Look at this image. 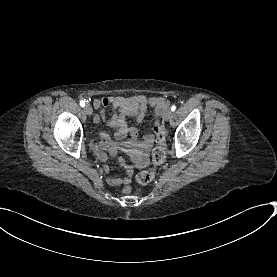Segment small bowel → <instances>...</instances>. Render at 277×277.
Instances as JSON below:
<instances>
[{
    "instance_id": "c3829d8e",
    "label": "small bowel",
    "mask_w": 277,
    "mask_h": 277,
    "mask_svg": "<svg viewBox=\"0 0 277 277\" xmlns=\"http://www.w3.org/2000/svg\"><path fill=\"white\" fill-rule=\"evenodd\" d=\"M113 106V114L108 120V125L116 130V138L122 139L126 136H130L132 140L125 142L124 144L113 143L111 138L102 134L101 141L99 144L93 142L92 149L96 151L100 157L101 163L107 162V157L104 156L102 150H108L111 153L116 151H128L133 158L131 164L125 163L123 160L120 161V166L123 169L125 175L120 178H109L108 183L112 186L126 185L129 184L137 170L143 169L148 164V158L146 152L152 145L154 137L152 135H146L142 141H137L135 138L138 135V130L134 127H129L126 123L127 117H135L137 123H141L144 118L146 111L149 107L154 109V117L156 115H163L164 110L168 107V101L159 96H143L136 95L132 97L113 96L105 98H94V105H102L108 107L109 104ZM102 118L108 117L107 111L101 112ZM95 121H99V117H95ZM104 173L110 172L109 166L103 167Z\"/></svg>"
}]
</instances>
